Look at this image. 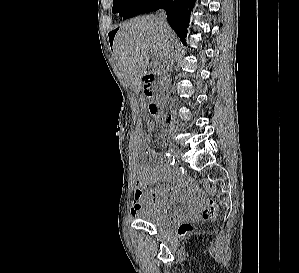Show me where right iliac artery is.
I'll list each match as a JSON object with an SVG mask.
<instances>
[{"instance_id":"obj_1","label":"right iliac artery","mask_w":299,"mask_h":273,"mask_svg":"<svg viewBox=\"0 0 299 273\" xmlns=\"http://www.w3.org/2000/svg\"><path fill=\"white\" fill-rule=\"evenodd\" d=\"M165 160L168 163H170L171 165H173L175 163V157L173 155H171L170 153L165 154Z\"/></svg>"}]
</instances>
